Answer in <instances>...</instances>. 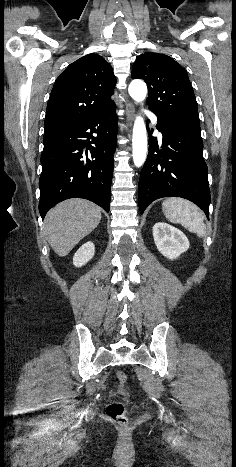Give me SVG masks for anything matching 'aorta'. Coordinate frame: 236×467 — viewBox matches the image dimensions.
I'll return each instance as SVG.
<instances>
[{
  "label": "aorta",
  "mask_w": 236,
  "mask_h": 467,
  "mask_svg": "<svg viewBox=\"0 0 236 467\" xmlns=\"http://www.w3.org/2000/svg\"><path fill=\"white\" fill-rule=\"evenodd\" d=\"M128 91L136 102H142L147 95V86L141 80H133L129 85ZM132 148L134 165L141 167L147 157V130L141 116H137L134 122Z\"/></svg>",
  "instance_id": "obj_1"
}]
</instances>
